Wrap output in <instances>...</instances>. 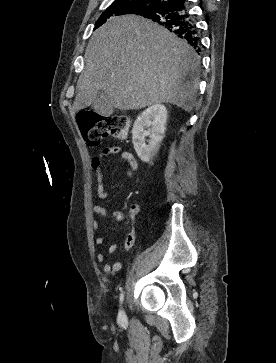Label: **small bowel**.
I'll return each mask as SVG.
<instances>
[{"mask_svg":"<svg viewBox=\"0 0 276 363\" xmlns=\"http://www.w3.org/2000/svg\"><path fill=\"white\" fill-rule=\"evenodd\" d=\"M119 154L120 157L127 161L128 167L126 168V174L128 176H132L134 171L138 168V162L136 158L133 156L132 153H130L127 150H124L122 147L118 145H110L105 148H103L99 153H97L91 161V167L92 171L94 173L95 179L97 181V196L101 199H104L107 197V190L104 186V173H103V163L104 160L107 159L109 156ZM139 205L134 203L129 208V215L131 220L134 222L136 216L139 213ZM93 212L98 215L99 218H103L106 215V209L101 204H96L93 207ZM91 226L94 230H97L100 226V222L97 219H93L91 221ZM135 230L132 229L128 235L126 236L125 241L122 245L120 244H111L107 248V252L112 254L116 252L120 247H122L124 250L128 251L133 246V243L135 241ZM95 243L97 245H103L104 244V238L101 236H98L95 238ZM97 261L100 263H103V272L105 274H112L116 273L121 270L122 268V262L121 261H115V262H109L106 260V253L105 252H98L96 255Z\"/></svg>","mask_w":276,"mask_h":363,"instance_id":"1","label":"small bowel"}]
</instances>
